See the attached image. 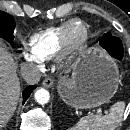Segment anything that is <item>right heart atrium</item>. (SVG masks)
Returning a JSON list of instances; mask_svg holds the SVG:
<instances>
[{
	"label": "right heart atrium",
	"instance_id": "1",
	"mask_svg": "<svg viewBox=\"0 0 130 130\" xmlns=\"http://www.w3.org/2000/svg\"><path fill=\"white\" fill-rule=\"evenodd\" d=\"M23 58L27 61V62H37V60H35L32 56H30L29 54H24Z\"/></svg>",
	"mask_w": 130,
	"mask_h": 130
}]
</instances>
